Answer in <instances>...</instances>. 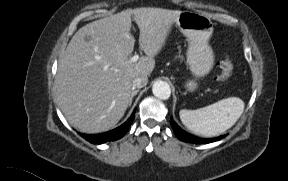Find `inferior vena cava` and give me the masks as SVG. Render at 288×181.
<instances>
[{
	"mask_svg": "<svg viewBox=\"0 0 288 181\" xmlns=\"http://www.w3.org/2000/svg\"><path fill=\"white\" fill-rule=\"evenodd\" d=\"M147 83H148V78L147 77H145V76L136 77L132 81V89L142 88V87L146 86Z\"/></svg>",
	"mask_w": 288,
	"mask_h": 181,
	"instance_id": "obj_1",
	"label": "inferior vena cava"
}]
</instances>
